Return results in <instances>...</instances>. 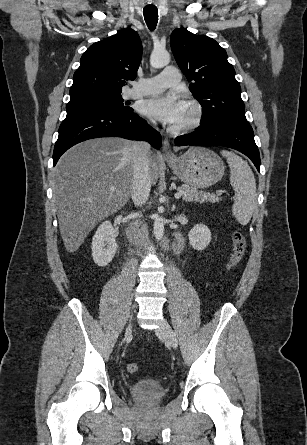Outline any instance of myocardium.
I'll list each match as a JSON object with an SVG mask.
<instances>
[{"label":"myocardium","mask_w":307,"mask_h":445,"mask_svg":"<svg viewBox=\"0 0 307 445\" xmlns=\"http://www.w3.org/2000/svg\"><path fill=\"white\" fill-rule=\"evenodd\" d=\"M187 106L190 109V117L182 124L172 126V132L187 133L198 128L203 123L206 116L203 106L195 100L189 101Z\"/></svg>","instance_id":"f54148a6"}]
</instances>
